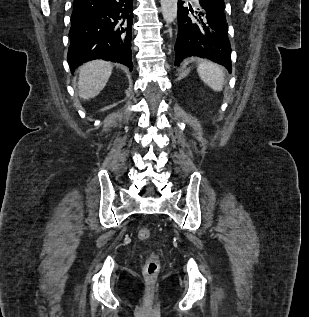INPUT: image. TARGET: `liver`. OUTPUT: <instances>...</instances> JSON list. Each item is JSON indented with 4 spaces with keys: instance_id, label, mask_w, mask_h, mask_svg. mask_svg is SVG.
Masks as SVG:
<instances>
[{
    "instance_id": "6515ba94",
    "label": "liver",
    "mask_w": 309,
    "mask_h": 317,
    "mask_svg": "<svg viewBox=\"0 0 309 317\" xmlns=\"http://www.w3.org/2000/svg\"><path fill=\"white\" fill-rule=\"evenodd\" d=\"M113 65L103 60L90 61L79 70V96L84 100L96 97L106 86Z\"/></svg>"
}]
</instances>
